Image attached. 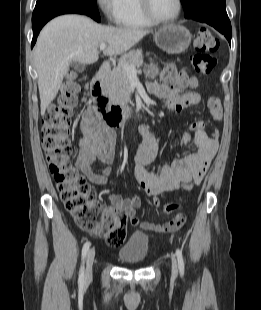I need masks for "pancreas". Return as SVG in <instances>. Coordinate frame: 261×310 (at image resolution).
<instances>
[{
	"mask_svg": "<svg viewBox=\"0 0 261 310\" xmlns=\"http://www.w3.org/2000/svg\"><path fill=\"white\" fill-rule=\"evenodd\" d=\"M124 63L139 68L143 64L142 51H131L122 56L118 61V65L110 71L106 78L109 96L112 102L117 104H126L130 101V83L129 77L123 69Z\"/></svg>",
	"mask_w": 261,
	"mask_h": 310,
	"instance_id": "pancreas-1",
	"label": "pancreas"
}]
</instances>
